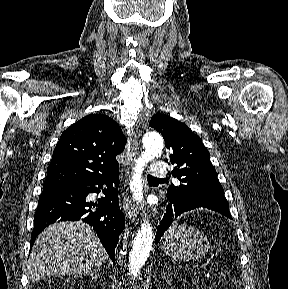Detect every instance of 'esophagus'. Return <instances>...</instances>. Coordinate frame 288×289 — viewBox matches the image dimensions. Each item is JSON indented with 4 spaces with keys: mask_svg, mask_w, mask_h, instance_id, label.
<instances>
[{
    "mask_svg": "<svg viewBox=\"0 0 288 289\" xmlns=\"http://www.w3.org/2000/svg\"><path fill=\"white\" fill-rule=\"evenodd\" d=\"M138 154H139V141L136 131L133 129L127 139L126 145V155L124 161V167L126 172H129L131 170ZM123 205L126 217L129 218L132 222H134L137 217V210L135 208V205L132 204L131 200L127 196L124 197Z\"/></svg>",
    "mask_w": 288,
    "mask_h": 289,
    "instance_id": "34e87169",
    "label": "esophagus"
}]
</instances>
